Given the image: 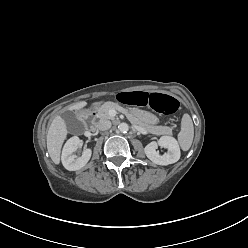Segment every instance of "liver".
Returning a JSON list of instances; mask_svg holds the SVG:
<instances>
[{"label": "liver", "mask_w": 248, "mask_h": 248, "mask_svg": "<svg viewBox=\"0 0 248 248\" xmlns=\"http://www.w3.org/2000/svg\"><path fill=\"white\" fill-rule=\"evenodd\" d=\"M101 102H95L94 105H98ZM87 103L85 101L78 102L69 107V110H80L85 107ZM68 130L65 120L60 116L57 115L47 133V149L48 153L55 164L60 163V153L62 145L67 137Z\"/></svg>", "instance_id": "obj_1"}]
</instances>
